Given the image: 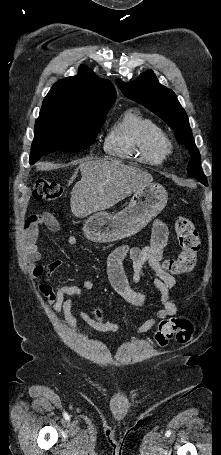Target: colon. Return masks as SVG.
I'll return each mask as SVG.
<instances>
[{
	"label": "colon",
	"instance_id": "colon-1",
	"mask_svg": "<svg viewBox=\"0 0 221 455\" xmlns=\"http://www.w3.org/2000/svg\"><path fill=\"white\" fill-rule=\"evenodd\" d=\"M32 194L35 200L53 202L63 196L64 190L57 182L38 178L33 182ZM175 232L180 253L176 259L166 260L164 269L171 275H180L194 268L201 243L196 227L186 217L176 219ZM154 338L160 347L168 345L173 339L181 345H186L194 339V327L185 317L167 318L158 324Z\"/></svg>",
	"mask_w": 221,
	"mask_h": 455
}]
</instances>
